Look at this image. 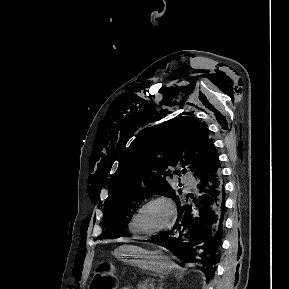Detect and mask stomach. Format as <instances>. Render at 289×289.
<instances>
[{
  "label": "stomach",
  "mask_w": 289,
  "mask_h": 289,
  "mask_svg": "<svg viewBox=\"0 0 289 289\" xmlns=\"http://www.w3.org/2000/svg\"><path fill=\"white\" fill-rule=\"evenodd\" d=\"M113 255L127 264L160 275L167 274L172 269L171 260L160 250L150 251L136 245H123Z\"/></svg>",
  "instance_id": "stomach-1"
}]
</instances>
